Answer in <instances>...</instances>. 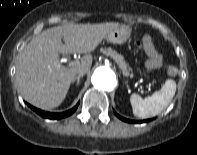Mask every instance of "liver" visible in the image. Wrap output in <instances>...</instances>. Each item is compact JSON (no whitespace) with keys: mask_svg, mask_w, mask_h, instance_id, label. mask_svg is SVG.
<instances>
[{"mask_svg":"<svg viewBox=\"0 0 197 155\" xmlns=\"http://www.w3.org/2000/svg\"><path fill=\"white\" fill-rule=\"evenodd\" d=\"M118 26V23H70L41 32L18 56L16 83L22 97L45 110L59 106L77 71L91 68L93 58L90 53ZM59 53L85 55L78 65L63 67L59 62Z\"/></svg>","mask_w":197,"mask_h":155,"instance_id":"obj_1","label":"liver"}]
</instances>
